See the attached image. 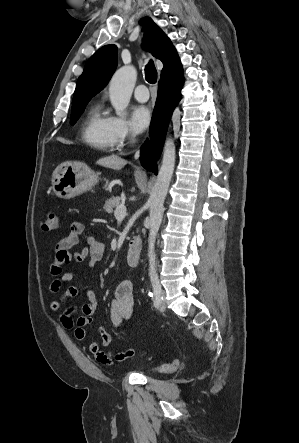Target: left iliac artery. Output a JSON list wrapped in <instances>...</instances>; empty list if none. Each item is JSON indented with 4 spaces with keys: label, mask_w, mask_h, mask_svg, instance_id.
Segmentation results:
<instances>
[{
    "label": "left iliac artery",
    "mask_w": 299,
    "mask_h": 443,
    "mask_svg": "<svg viewBox=\"0 0 299 443\" xmlns=\"http://www.w3.org/2000/svg\"><path fill=\"white\" fill-rule=\"evenodd\" d=\"M150 280L153 287L154 292V306L158 307L163 297L161 294V285L159 283L158 275L156 272L150 273Z\"/></svg>",
    "instance_id": "left-iliac-artery-1"
}]
</instances>
